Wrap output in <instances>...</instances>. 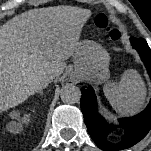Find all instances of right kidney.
Masks as SVG:
<instances>
[{
	"label": "right kidney",
	"mask_w": 151,
	"mask_h": 151,
	"mask_svg": "<svg viewBox=\"0 0 151 151\" xmlns=\"http://www.w3.org/2000/svg\"><path fill=\"white\" fill-rule=\"evenodd\" d=\"M11 116H12L13 118H19V113L13 112V113L11 114ZM23 121H25V120H23ZM18 130H19V129H18V125L16 124V122H12L11 125H10V132H12V133H17Z\"/></svg>",
	"instance_id": "obj_1"
}]
</instances>
